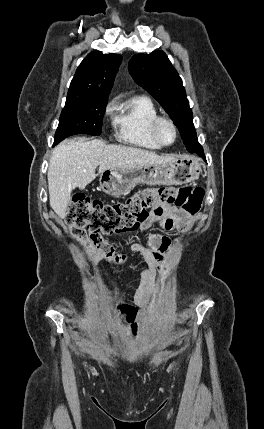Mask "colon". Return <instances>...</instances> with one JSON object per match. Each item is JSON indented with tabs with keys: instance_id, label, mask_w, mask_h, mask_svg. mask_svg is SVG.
I'll use <instances>...</instances> for the list:
<instances>
[{
	"instance_id": "obj_1",
	"label": "colon",
	"mask_w": 264,
	"mask_h": 429,
	"mask_svg": "<svg viewBox=\"0 0 264 429\" xmlns=\"http://www.w3.org/2000/svg\"><path fill=\"white\" fill-rule=\"evenodd\" d=\"M204 190L201 187L146 188L123 202L104 203L84 194L73 196L66 224L71 233L85 232L97 239L103 235L136 230L152 212L163 205H175L188 215H195L202 207ZM129 305H118L117 314L131 322Z\"/></svg>"
}]
</instances>
